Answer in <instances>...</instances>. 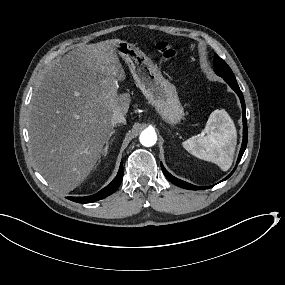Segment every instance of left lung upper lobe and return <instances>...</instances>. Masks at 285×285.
Here are the masks:
<instances>
[{
    "label": "left lung upper lobe",
    "mask_w": 285,
    "mask_h": 285,
    "mask_svg": "<svg viewBox=\"0 0 285 285\" xmlns=\"http://www.w3.org/2000/svg\"><path fill=\"white\" fill-rule=\"evenodd\" d=\"M214 67L216 74L224 80L235 78L230 67L217 54L214 56Z\"/></svg>",
    "instance_id": "left-lung-upper-lobe-1"
}]
</instances>
